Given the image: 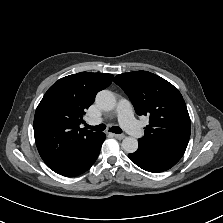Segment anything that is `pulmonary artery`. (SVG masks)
I'll list each match as a JSON object with an SVG mask.
<instances>
[{"label":"pulmonary artery","instance_id":"e3ab8cb5","mask_svg":"<svg viewBox=\"0 0 223 223\" xmlns=\"http://www.w3.org/2000/svg\"><path fill=\"white\" fill-rule=\"evenodd\" d=\"M112 115L117 117L119 123L124 126L125 131L130 133L132 137L139 138L142 136L143 129L141 126L137 125L136 121L134 120L132 107L126 99L119 100ZM100 121H102V119H91L89 120V124L95 125Z\"/></svg>","mask_w":223,"mask_h":223}]
</instances>
